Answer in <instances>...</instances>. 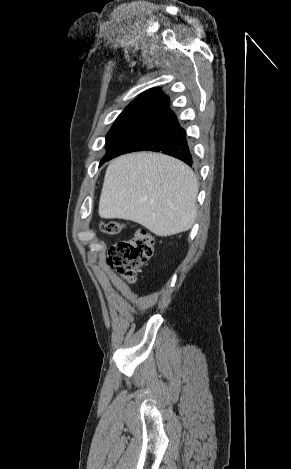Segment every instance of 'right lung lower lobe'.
<instances>
[{"mask_svg":"<svg viewBox=\"0 0 291 469\" xmlns=\"http://www.w3.org/2000/svg\"><path fill=\"white\" fill-rule=\"evenodd\" d=\"M142 150L162 152L182 160L189 166L194 164L186 132L169 107L150 118L126 138L106 161L124 153Z\"/></svg>","mask_w":291,"mask_h":469,"instance_id":"98d812e1","label":"right lung lower lobe"}]
</instances>
